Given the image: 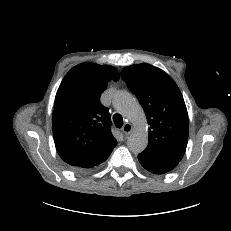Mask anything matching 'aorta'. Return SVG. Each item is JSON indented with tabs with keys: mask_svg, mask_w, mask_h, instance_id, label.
<instances>
[{
	"mask_svg": "<svg viewBox=\"0 0 231 231\" xmlns=\"http://www.w3.org/2000/svg\"><path fill=\"white\" fill-rule=\"evenodd\" d=\"M112 104L135 125V131L127 140L129 150L134 154L143 152L148 145V124L143 108L127 91H118L113 97Z\"/></svg>",
	"mask_w": 231,
	"mask_h": 231,
	"instance_id": "obj_1",
	"label": "aorta"
}]
</instances>
